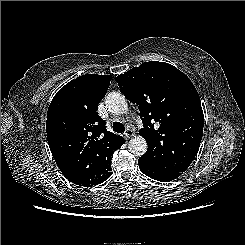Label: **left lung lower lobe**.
<instances>
[{"label":"left lung lower lobe","mask_w":245,"mask_h":245,"mask_svg":"<svg viewBox=\"0 0 245 245\" xmlns=\"http://www.w3.org/2000/svg\"><path fill=\"white\" fill-rule=\"evenodd\" d=\"M140 170L148 177L161 182H169L178 178L182 172L163 169L154 165H151L143 160H138Z\"/></svg>","instance_id":"left-lung-lower-lobe-1"}]
</instances>
